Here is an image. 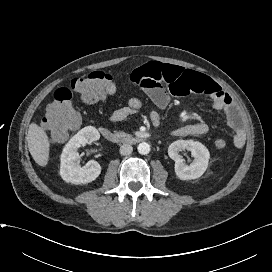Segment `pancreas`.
I'll return each instance as SVG.
<instances>
[{"mask_svg":"<svg viewBox=\"0 0 272 272\" xmlns=\"http://www.w3.org/2000/svg\"><path fill=\"white\" fill-rule=\"evenodd\" d=\"M115 135L118 137V138H123V139H126V138H129L130 135L125 133L124 131H116L115 132Z\"/></svg>","mask_w":272,"mask_h":272,"instance_id":"pancreas-1","label":"pancreas"}]
</instances>
